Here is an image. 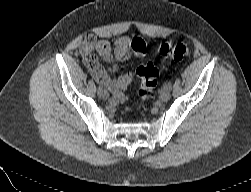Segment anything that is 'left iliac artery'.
<instances>
[{
  "mask_svg": "<svg viewBox=\"0 0 251 192\" xmlns=\"http://www.w3.org/2000/svg\"><path fill=\"white\" fill-rule=\"evenodd\" d=\"M166 88H168L169 90L172 89V83L171 82H168L166 85H165Z\"/></svg>",
  "mask_w": 251,
  "mask_h": 192,
  "instance_id": "obj_1",
  "label": "left iliac artery"
}]
</instances>
